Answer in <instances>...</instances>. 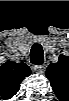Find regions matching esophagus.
Returning a JSON list of instances; mask_svg holds the SVG:
<instances>
[{
  "label": "esophagus",
  "instance_id": "esophagus-1",
  "mask_svg": "<svg viewBox=\"0 0 69 101\" xmlns=\"http://www.w3.org/2000/svg\"><path fill=\"white\" fill-rule=\"evenodd\" d=\"M45 68H46L45 65H35L34 66V70L39 74H43L45 71Z\"/></svg>",
  "mask_w": 69,
  "mask_h": 101
}]
</instances>
